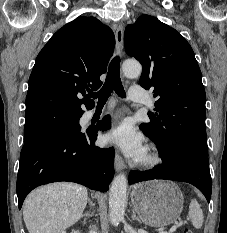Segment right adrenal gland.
I'll use <instances>...</instances> for the list:
<instances>
[{"label": "right adrenal gland", "mask_w": 227, "mask_h": 233, "mask_svg": "<svg viewBox=\"0 0 227 233\" xmlns=\"http://www.w3.org/2000/svg\"><path fill=\"white\" fill-rule=\"evenodd\" d=\"M88 202H89L91 207H94V204L91 202V200L89 198H88ZM93 215H94V211L93 212H86L81 217L84 218V223H85L87 218L92 217Z\"/></svg>", "instance_id": "right-adrenal-gland-1"}]
</instances>
